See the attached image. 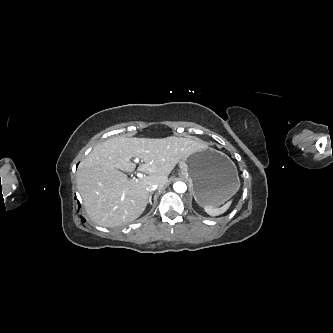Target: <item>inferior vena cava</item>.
I'll use <instances>...</instances> for the list:
<instances>
[{"label":"inferior vena cava","mask_w":333,"mask_h":333,"mask_svg":"<svg viewBox=\"0 0 333 333\" xmlns=\"http://www.w3.org/2000/svg\"><path fill=\"white\" fill-rule=\"evenodd\" d=\"M158 188V184L154 183L146 187L148 192L155 191Z\"/></svg>","instance_id":"1"}]
</instances>
